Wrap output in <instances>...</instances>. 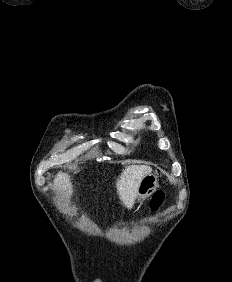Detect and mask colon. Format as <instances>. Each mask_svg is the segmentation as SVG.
<instances>
[{
    "label": "colon",
    "mask_w": 232,
    "mask_h": 282,
    "mask_svg": "<svg viewBox=\"0 0 232 282\" xmlns=\"http://www.w3.org/2000/svg\"><path fill=\"white\" fill-rule=\"evenodd\" d=\"M165 202V193L163 191H157L151 200V209L158 211Z\"/></svg>",
    "instance_id": "5ec220e1"
}]
</instances>
